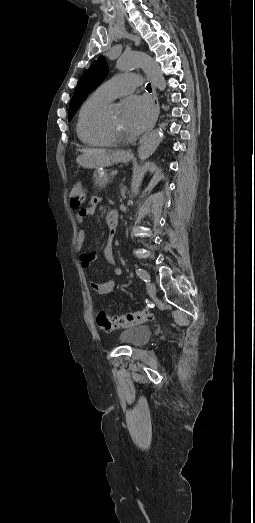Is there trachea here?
<instances>
[{
    "label": "trachea",
    "instance_id": "1",
    "mask_svg": "<svg viewBox=\"0 0 255 523\" xmlns=\"http://www.w3.org/2000/svg\"><path fill=\"white\" fill-rule=\"evenodd\" d=\"M146 90H147L148 92H151V91H152V87H151L150 83H148V85L146 86Z\"/></svg>",
    "mask_w": 255,
    "mask_h": 523
}]
</instances>
